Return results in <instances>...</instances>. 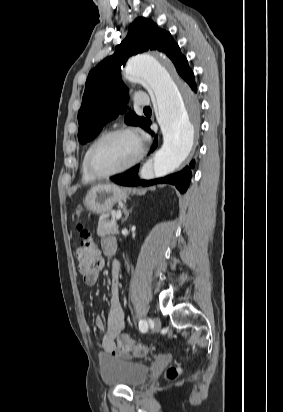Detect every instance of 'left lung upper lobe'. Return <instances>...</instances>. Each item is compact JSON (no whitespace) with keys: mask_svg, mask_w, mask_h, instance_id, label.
I'll return each instance as SVG.
<instances>
[{"mask_svg":"<svg viewBox=\"0 0 283 412\" xmlns=\"http://www.w3.org/2000/svg\"><path fill=\"white\" fill-rule=\"evenodd\" d=\"M147 50H158L166 54L183 79L192 72L186 57L169 32L148 19H136L130 25L127 37L116 46L115 53L89 73L78 112V139L81 144L93 140L107 121L116 118L119 113H125L128 94L120 78V68L130 56ZM148 121L132 112L125 116L127 124L142 128Z\"/></svg>","mask_w":283,"mask_h":412,"instance_id":"5c2ea615","label":"left lung upper lobe"}]
</instances>
